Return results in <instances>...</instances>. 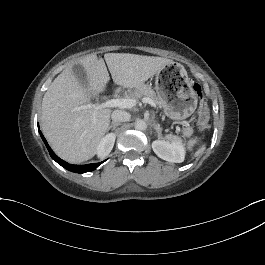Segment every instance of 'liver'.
<instances>
[{"label": "liver", "mask_w": 265, "mask_h": 265, "mask_svg": "<svg viewBox=\"0 0 265 265\" xmlns=\"http://www.w3.org/2000/svg\"><path fill=\"white\" fill-rule=\"evenodd\" d=\"M104 59L115 84L135 88L173 61L129 53H106ZM88 79L81 85L71 66L65 68L48 87L42 100L41 127L53 151L63 160L78 164L91 159L109 130L110 109L80 108L91 95L104 91L110 80L102 59L87 55L80 59Z\"/></svg>", "instance_id": "liver-1"}]
</instances>
